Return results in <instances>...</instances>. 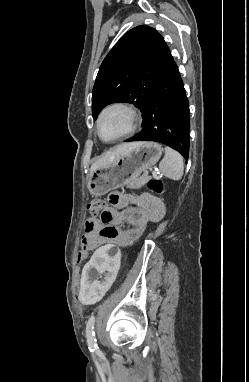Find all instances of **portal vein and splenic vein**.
Listing matches in <instances>:
<instances>
[{
    "label": "portal vein and splenic vein",
    "mask_w": 249,
    "mask_h": 382,
    "mask_svg": "<svg viewBox=\"0 0 249 382\" xmlns=\"http://www.w3.org/2000/svg\"><path fill=\"white\" fill-rule=\"evenodd\" d=\"M152 173H153V176H156V175H157V174H156V170H153ZM146 174H147V173H146Z\"/></svg>",
    "instance_id": "obj_1"
}]
</instances>
